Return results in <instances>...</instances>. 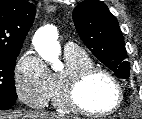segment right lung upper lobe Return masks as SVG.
<instances>
[{
    "mask_svg": "<svg viewBox=\"0 0 142 119\" xmlns=\"http://www.w3.org/2000/svg\"><path fill=\"white\" fill-rule=\"evenodd\" d=\"M35 11L26 0H0V54L20 52Z\"/></svg>",
    "mask_w": 142,
    "mask_h": 119,
    "instance_id": "1",
    "label": "right lung upper lobe"
}]
</instances>
